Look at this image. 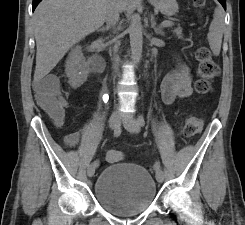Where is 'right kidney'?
<instances>
[{
	"mask_svg": "<svg viewBox=\"0 0 245 225\" xmlns=\"http://www.w3.org/2000/svg\"><path fill=\"white\" fill-rule=\"evenodd\" d=\"M90 72L89 64L86 62L81 47L76 46L71 50L65 64V73L72 88L80 87L87 79Z\"/></svg>",
	"mask_w": 245,
	"mask_h": 225,
	"instance_id": "obj_1",
	"label": "right kidney"
}]
</instances>
